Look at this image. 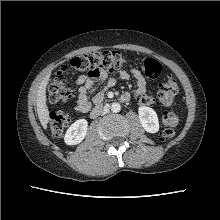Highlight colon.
<instances>
[{"instance_id": "1", "label": "colon", "mask_w": 220, "mask_h": 220, "mask_svg": "<svg viewBox=\"0 0 220 220\" xmlns=\"http://www.w3.org/2000/svg\"><path fill=\"white\" fill-rule=\"evenodd\" d=\"M127 64V58L118 51L95 52L73 58L69 65L61 66L48 89V99L51 103L71 101L76 93L74 88L67 82V78L76 73L85 71L89 75H95L98 70L119 69ZM142 70L149 78H156L161 72L160 63L152 58H147L142 63ZM178 93V84L172 77L166 79L158 92L159 101L171 106ZM151 96L144 98V103H153ZM51 132L54 136L62 135L69 124V115L63 111H54L49 118ZM162 123L165 126L161 133L163 139H170L175 134V127L179 123V116L174 111H166L162 116Z\"/></svg>"}]
</instances>
